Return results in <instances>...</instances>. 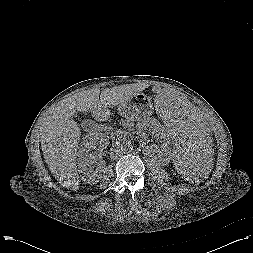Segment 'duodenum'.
<instances>
[{
    "instance_id": "1",
    "label": "duodenum",
    "mask_w": 253,
    "mask_h": 253,
    "mask_svg": "<svg viewBox=\"0 0 253 253\" xmlns=\"http://www.w3.org/2000/svg\"><path fill=\"white\" fill-rule=\"evenodd\" d=\"M94 129V127L92 126V125H90L88 128H87V130H89V131H92Z\"/></svg>"
}]
</instances>
